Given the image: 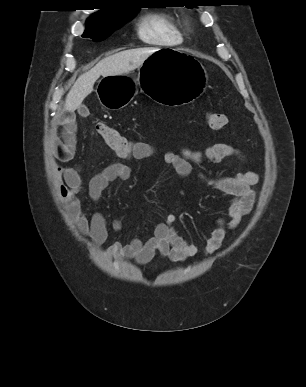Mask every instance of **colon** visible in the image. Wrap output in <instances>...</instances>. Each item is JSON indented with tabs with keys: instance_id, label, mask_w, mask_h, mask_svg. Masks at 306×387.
I'll use <instances>...</instances> for the list:
<instances>
[{
	"instance_id": "1",
	"label": "colon",
	"mask_w": 306,
	"mask_h": 387,
	"mask_svg": "<svg viewBox=\"0 0 306 387\" xmlns=\"http://www.w3.org/2000/svg\"><path fill=\"white\" fill-rule=\"evenodd\" d=\"M207 125L211 129H221L227 124V117L220 113H209L206 116ZM96 131L104 142L121 157H128L134 149V141L126 138L119 131L105 122L96 124Z\"/></svg>"
}]
</instances>
